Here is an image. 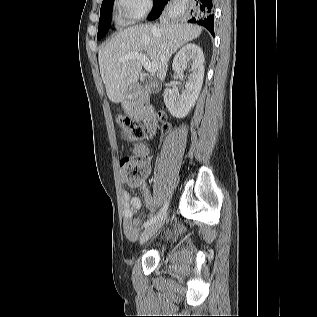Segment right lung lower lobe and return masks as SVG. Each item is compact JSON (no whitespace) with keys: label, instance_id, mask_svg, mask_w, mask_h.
<instances>
[{"label":"right lung lower lobe","instance_id":"right-lung-lower-lobe-1","mask_svg":"<svg viewBox=\"0 0 317 317\" xmlns=\"http://www.w3.org/2000/svg\"><path fill=\"white\" fill-rule=\"evenodd\" d=\"M169 0H158L153 5V9L149 14L148 19L154 20L158 18L164 6ZM192 9H191V19L189 22L197 23L199 25L207 28L210 33L214 36V2L213 0H191Z\"/></svg>","mask_w":317,"mask_h":317}]
</instances>
